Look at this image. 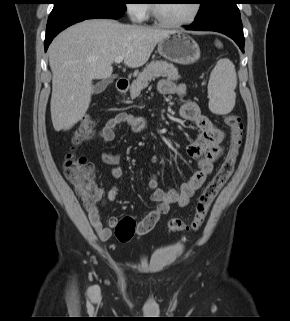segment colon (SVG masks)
<instances>
[{
	"label": "colon",
	"instance_id": "obj_1",
	"mask_svg": "<svg viewBox=\"0 0 290 321\" xmlns=\"http://www.w3.org/2000/svg\"><path fill=\"white\" fill-rule=\"evenodd\" d=\"M225 123L231 130L226 156L215 175L198 196L192 221L186 223L179 218L171 219L168 223L171 232L198 231L203 226L212 203L234 171L243 138V124L240 116L235 113L225 115ZM94 129L92 118L85 116L74 132L73 145L76 147L88 141ZM63 171L85 208L95 206L101 197V189L95 181L94 165L84 155L71 151L65 156ZM136 232L137 226L131 217L122 218L115 229L116 237L120 242L129 241Z\"/></svg>",
	"mask_w": 290,
	"mask_h": 321
}]
</instances>
